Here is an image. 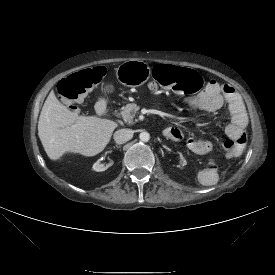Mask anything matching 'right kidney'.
Masks as SVG:
<instances>
[{
  "mask_svg": "<svg viewBox=\"0 0 275 275\" xmlns=\"http://www.w3.org/2000/svg\"><path fill=\"white\" fill-rule=\"evenodd\" d=\"M112 159L108 158L105 154L98 156V161L94 163L93 170L96 172H102L112 166Z\"/></svg>",
  "mask_w": 275,
  "mask_h": 275,
  "instance_id": "ca27d5eb",
  "label": "right kidney"
}]
</instances>
